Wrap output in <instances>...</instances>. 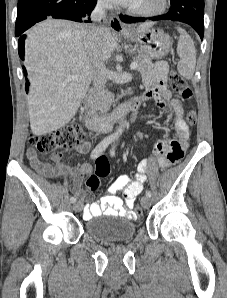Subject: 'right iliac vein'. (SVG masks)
I'll return each mask as SVG.
<instances>
[{
  "mask_svg": "<svg viewBox=\"0 0 227 298\" xmlns=\"http://www.w3.org/2000/svg\"><path fill=\"white\" fill-rule=\"evenodd\" d=\"M82 208H83V205H82V203H80V202H76V203H74V205H73V210H74L75 212H80V211L82 210Z\"/></svg>",
  "mask_w": 227,
  "mask_h": 298,
  "instance_id": "1",
  "label": "right iliac vein"
}]
</instances>
